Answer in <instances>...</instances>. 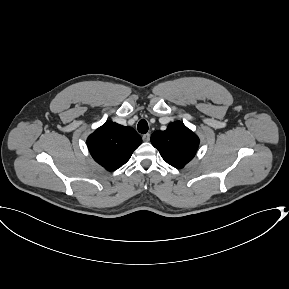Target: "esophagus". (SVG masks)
I'll list each match as a JSON object with an SVG mask.
<instances>
[{"instance_id":"34e87169","label":"esophagus","mask_w":289,"mask_h":289,"mask_svg":"<svg viewBox=\"0 0 289 289\" xmlns=\"http://www.w3.org/2000/svg\"><path fill=\"white\" fill-rule=\"evenodd\" d=\"M142 139H143V141L148 142V141L150 140V134H149V133L144 134V135L142 136Z\"/></svg>"}]
</instances>
